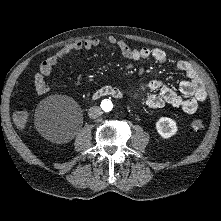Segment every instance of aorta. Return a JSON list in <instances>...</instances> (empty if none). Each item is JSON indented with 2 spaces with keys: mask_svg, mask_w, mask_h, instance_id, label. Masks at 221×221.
<instances>
[{
  "mask_svg": "<svg viewBox=\"0 0 221 221\" xmlns=\"http://www.w3.org/2000/svg\"><path fill=\"white\" fill-rule=\"evenodd\" d=\"M111 109H112V105H111V104H108L106 110L109 111V110H111Z\"/></svg>",
  "mask_w": 221,
  "mask_h": 221,
  "instance_id": "aorta-1",
  "label": "aorta"
}]
</instances>
